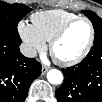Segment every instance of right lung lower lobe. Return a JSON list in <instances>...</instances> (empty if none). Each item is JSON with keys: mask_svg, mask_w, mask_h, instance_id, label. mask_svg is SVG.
Here are the masks:
<instances>
[{"mask_svg": "<svg viewBox=\"0 0 102 102\" xmlns=\"http://www.w3.org/2000/svg\"><path fill=\"white\" fill-rule=\"evenodd\" d=\"M18 33H0V102H24L29 87L41 74V64L24 57Z\"/></svg>", "mask_w": 102, "mask_h": 102, "instance_id": "obj_1", "label": "right lung lower lobe"}]
</instances>
